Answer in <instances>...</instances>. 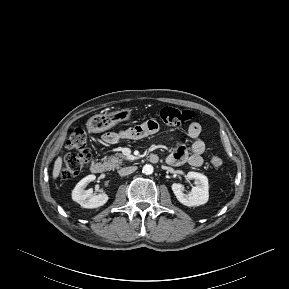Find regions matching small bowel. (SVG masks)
<instances>
[{
    "instance_id": "1",
    "label": "small bowel",
    "mask_w": 289,
    "mask_h": 289,
    "mask_svg": "<svg viewBox=\"0 0 289 289\" xmlns=\"http://www.w3.org/2000/svg\"><path fill=\"white\" fill-rule=\"evenodd\" d=\"M159 130V125L154 120H148L140 125L128 129L120 130L118 132H107L102 136L104 142L109 144L117 143L123 139L137 140L153 135ZM201 125L193 122L189 125L187 134L194 139L190 147V152L183 144H178L175 149L167 157V162L170 165L178 166L188 162L194 167H199L203 163V153L205 151V143L199 139L201 133Z\"/></svg>"
}]
</instances>
